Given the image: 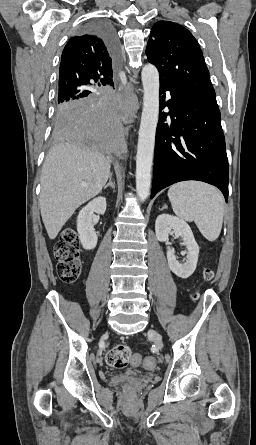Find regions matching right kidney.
Wrapping results in <instances>:
<instances>
[{
    "mask_svg": "<svg viewBox=\"0 0 256 445\" xmlns=\"http://www.w3.org/2000/svg\"><path fill=\"white\" fill-rule=\"evenodd\" d=\"M106 206V198L98 197L83 207L78 214L77 231L80 242L86 250L94 249L98 241L92 221L94 213L103 215L106 211Z\"/></svg>",
    "mask_w": 256,
    "mask_h": 445,
    "instance_id": "right-kidney-1",
    "label": "right kidney"
}]
</instances>
